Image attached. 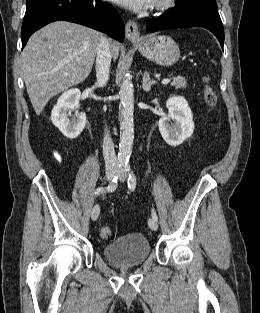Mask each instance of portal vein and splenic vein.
<instances>
[{
	"instance_id": "portal-vein-and-splenic-vein-1",
	"label": "portal vein and splenic vein",
	"mask_w": 260,
	"mask_h": 313,
	"mask_svg": "<svg viewBox=\"0 0 260 313\" xmlns=\"http://www.w3.org/2000/svg\"><path fill=\"white\" fill-rule=\"evenodd\" d=\"M169 82H170V79H168V78L162 80V83H163V84H168Z\"/></svg>"
}]
</instances>
